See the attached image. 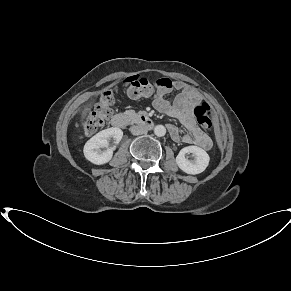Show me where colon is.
Instances as JSON below:
<instances>
[{"mask_svg":"<svg viewBox=\"0 0 291 291\" xmlns=\"http://www.w3.org/2000/svg\"><path fill=\"white\" fill-rule=\"evenodd\" d=\"M127 94L132 99H139L152 95L161 87H168L166 80H150L146 76H133L124 81ZM114 95L112 90L104 88L100 91L98 101L84 110L78 120L77 126L81 135H92L105 127L113 113ZM198 123L208 129H214V115L211 107L206 102L195 103L192 108Z\"/></svg>","mask_w":291,"mask_h":291,"instance_id":"colon-1","label":"colon"}]
</instances>
